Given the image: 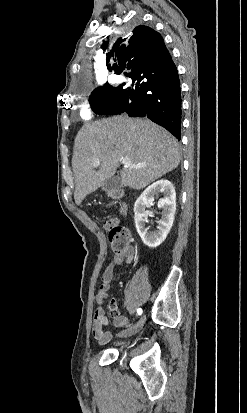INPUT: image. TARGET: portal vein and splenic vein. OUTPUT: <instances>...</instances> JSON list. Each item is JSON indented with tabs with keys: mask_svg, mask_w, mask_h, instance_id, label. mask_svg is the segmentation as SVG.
I'll use <instances>...</instances> for the list:
<instances>
[{
	"mask_svg": "<svg viewBox=\"0 0 247 413\" xmlns=\"http://www.w3.org/2000/svg\"><path fill=\"white\" fill-rule=\"evenodd\" d=\"M122 164H124V166H127V164H130L128 158H123V160H121ZM100 164V160H95V162H93V166H99Z\"/></svg>",
	"mask_w": 247,
	"mask_h": 413,
	"instance_id": "1",
	"label": "portal vein and splenic vein"
}]
</instances>
